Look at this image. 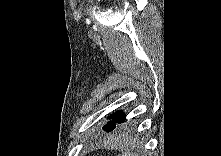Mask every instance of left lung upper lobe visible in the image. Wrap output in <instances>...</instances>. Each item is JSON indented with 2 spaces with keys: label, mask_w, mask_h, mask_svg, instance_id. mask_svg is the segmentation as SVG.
Returning a JSON list of instances; mask_svg holds the SVG:
<instances>
[{
  "label": "left lung upper lobe",
  "mask_w": 221,
  "mask_h": 156,
  "mask_svg": "<svg viewBox=\"0 0 221 156\" xmlns=\"http://www.w3.org/2000/svg\"><path fill=\"white\" fill-rule=\"evenodd\" d=\"M109 119H112L111 121H109L104 127L103 129L106 132H111L115 129L116 124H120L125 122V115L123 112H116L115 114H112L111 116H109Z\"/></svg>",
  "instance_id": "obj_1"
}]
</instances>
